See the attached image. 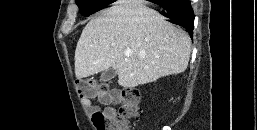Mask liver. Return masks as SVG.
<instances>
[{
  "mask_svg": "<svg viewBox=\"0 0 257 130\" xmlns=\"http://www.w3.org/2000/svg\"><path fill=\"white\" fill-rule=\"evenodd\" d=\"M190 53L191 39L183 30L140 1H119L84 27L75 75L86 78L113 68L120 86L134 88L184 72Z\"/></svg>",
  "mask_w": 257,
  "mask_h": 130,
  "instance_id": "obj_1",
  "label": "liver"
}]
</instances>
